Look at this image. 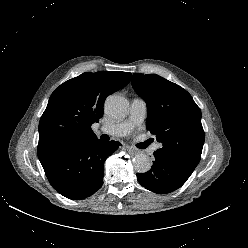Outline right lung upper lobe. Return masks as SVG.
<instances>
[{
  "mask_svg": "<svg viewBox=\"0 0 248 248\" xmlns=\"http://www.w3.org/2000/svg\"><path fill=\"white\" fill-rule=\"evenodd\" d=\"M131 73H83L61 84L50 96L39 122L37 154L44 162L65 144L96 136L91 125L103 116L105 98L125 87Z\"/></svg>",
  "mask_w": 248,
  "mask_h": 248,
  "instance_id": "cb5924a9",
  "label": "right lung upper lobe"
}]
</instances>
